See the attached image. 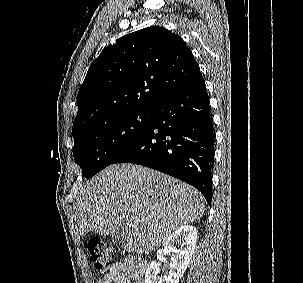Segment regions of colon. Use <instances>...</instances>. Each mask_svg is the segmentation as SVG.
I'll return each mask as SVG.
<instances>
[{
	"instance_id": "5ec220e1",
	"label": "colon",
	"mask_w": 303,
	"mask_h": 283,
	"mask_svg": "<svg viewBox=\"0 0 303 283\" xmlns=\"http://www.w3.org/2000/svg\"><path fill=\"white\" fill-rule=\"evenodd\" d=\"M91 266L98 272H105L116 258L115 248L99 238L90 239L86 243Z\"/></svg>"
}]
</instances>
